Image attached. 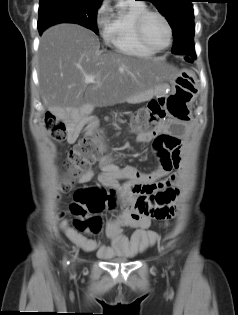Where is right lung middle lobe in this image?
Masks as SVG:
<instances>
[{
	"label": "right lung middle lobe",
	"instance_id": "right-lung-middle-lobe-1",
	"mask_svg": "<svg viewBox=\"0 0 238 315\" xmlns=\"http://www.w3.org/2000/svg\"><path fill=\"white\" fill-rule=\"evenodd\" d=\"M102 0H40L38 31L58 23H76L96 34L97 9Z\"/></svg>",
	"mask_w": 238,
	"mask_h": 315
}]
</instances>
